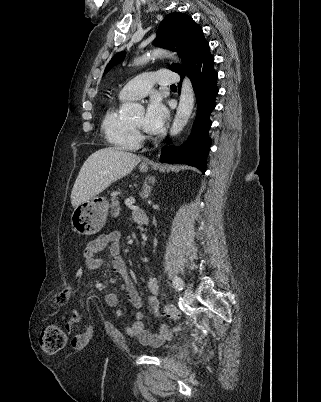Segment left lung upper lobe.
Listing matches in <instances>:
<instances>
[{"mask_svg":"<svg viewBox=\"0 0 321 402\" xmlns=\"http://www.w3.org/2000/svg\"><path fill=\"white\" fill-rule=\"evenodd\" d=\"M206 42L201 27L188 15L175 12L167 15L157 31L154 45L177 52L183 66L173 64L171 70L181 73L196 50ZM125 57V52L115 54L108 63L105 73Z\"/></svg>","mask_w":321,"mask_h":402,"instance_id":"obj_1","label":"left lung upper lobe"}]
</instances>
